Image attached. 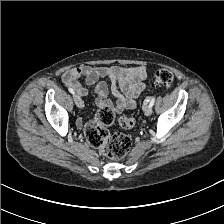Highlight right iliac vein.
<instances>
[{"instance_id":"obj_1","label":"right iliac vein","mask_w":224,"mask_h":224,"mask_svg":"<svg viewBox=\"0 0 224 224\" xmlns=\"http://www.w3.org/2000/svg\"><path fill=\"white\" fill-rule=\"evenodd\" d=\"M74 101L78 108H82L84 106L83 101L79 95L74 96Z\"/></svg>"}]
</instances>
